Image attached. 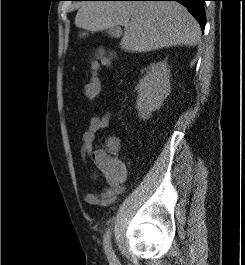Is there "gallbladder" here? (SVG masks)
Segmentation results:
<instances>
[{"mask_svg": "<svg viewBox=\"0 0 245 265\" xmlns=\"http://www.w3.org/2000/svg\"><path fill=\"white\" fill-rule=\"evenodd\" d=\"M106 33L112 38H119L122 35V29L119 26H113L107 28Z\"/></svg>", "mask_w": 245, "mask_h": 265, "instance_id": "bac80fb5", "label": "gallbladder"}]
</instances>
